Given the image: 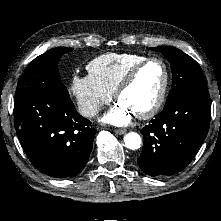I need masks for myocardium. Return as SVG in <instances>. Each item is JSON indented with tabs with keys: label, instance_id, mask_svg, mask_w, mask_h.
Returning a JSON list of instances; mask_svg holds the SVG:
<instances>
[{
	"label": "myocardium",
	"instance_id": "obj_1",
	"mask_svg": "<svg viewBox=\"0 0 221 221\" xmlns=\"http://www.w3.org/2000/svg\"><path fill=\"white\" fill-rule=\"evenodd\" d=\"M153 62L159 63L162 66L163 71H164V80H163V84L160 89L159 95L156 101L154 102V104L147 110L141 113L135 114V116L139 119H149L153 117L159 112V110L164 104L168 87H169V82H170V71L165 61L162 60L161 58L151 57L138 63L137 65H135L133 68L129 70V72L124 76V78L121 80V82L118 84V86L116 87L114 91V97L118 101L120 95L134 82V80L136 79L140 71L145 66Z\"/></svg>",
	"mask_w": 221,
	"mask_h": 221
}]
</instances>
